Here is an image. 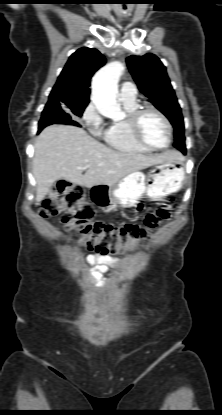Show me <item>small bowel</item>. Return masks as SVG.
<instances>
[{
	"mask_svg": "<svg viewBox=\"0 0 222 415\" xmlns=\"http://www.w3.org/2000/svg\"><path fill=\"white\" fill-rule=\"evenodd\" d=\"M108 261V259L104 256L100 255H90L87 257V263L89 265H99V267L91 273V281L93 283L101 284L104 281V275L106 272L105 263ZM115 263H119L118 259L112 260Z\"/></svg>",
	"mask_w": 222,
	"mask_h": 415,
	"instance_id": "small-bowel-1",
	"label": "small bowel"
}]
</instances>
